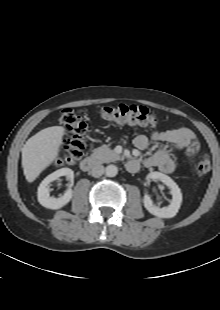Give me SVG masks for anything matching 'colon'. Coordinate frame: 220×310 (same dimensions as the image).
<instances>
[{"mask_svg":"<svg viewBox=\"0 0 220 310\" xmlns=\"http://www.w3.org/2000/svg\"><path fill=\"white\" fill-rule=\"evenodd\" d=\"M101 114L103 118L120 125L135 127H154L157 125L155 113L145 107L111 105L103 107ZM59 120L66 132L60 164H70L79 160L83 155L87 125L73 109H64ZM210 168V157L204 155L196 162L194 171L198 175H204L209 172Z\"/></svg>","mask_w":220,"mask_h":310,"instance_id":"1","label":"colon"}]
</instances>
